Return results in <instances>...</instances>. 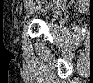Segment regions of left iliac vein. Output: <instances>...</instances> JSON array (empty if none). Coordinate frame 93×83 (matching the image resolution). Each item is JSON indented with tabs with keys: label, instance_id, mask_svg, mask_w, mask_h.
Segmentation results:
<instances>
[{
	"label": "left iliac vein",
	"instance_id": "obj_1",
	"mask_svg": "<svg viewBox=\"0 0 93 83\" xmlns=\"http://www.w3.org/2000/svg\"><path fill=\"white\" fill-rule=\"evenodd\" d=\"M35 11H36L35 9L30 10L26 17H28L29 15L33 14Z\"/></svg>",
	"mask_w": 93,
	"mask_h": 83
}]
</instances>
